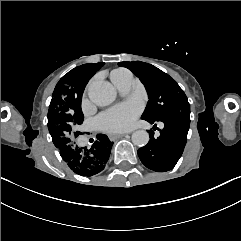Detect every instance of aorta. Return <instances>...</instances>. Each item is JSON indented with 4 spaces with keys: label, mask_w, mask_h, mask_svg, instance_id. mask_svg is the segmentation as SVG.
<instances>
[{
    "label": "aorta",
    "mask_w": 241,
    "mask_h": 241,
    "mask_svg": "<svg viewBox=\"0 0 241 241\" xmlns=\"http://www.w3.org/2000/svg\"><path fill=\"white\" fill-rule=\"evenodd\" d=\"M116 90L113 85L107 81L97 80L90 84L88 96L90 100L98 106L110 105L116 98ZM134 145L143 147L149 142V134L145 130H137L132 134Z\"/></svg>",
    "instance_id": "762f6f07"
}]
</instances>
